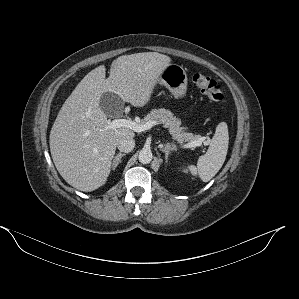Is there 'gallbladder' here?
<instances>
[{
  "mask_svg": "<svg viewBox=\"0 0 299 299\" xmlns=\"http://www.w3.org/2000/svg\"><path fill=\"white\" fill-rule=\"evenodd\" d=\"M99 105L108 117H120L123 115L124 102L118 95L112 92L103 93Z\"/></svg>",
  "mask_w": 299,
  "mask_h": 299,
  "instance_id": "1",
  "label": "gallbladder"
}]
</instances>
